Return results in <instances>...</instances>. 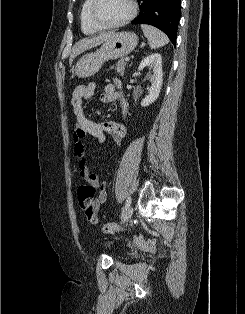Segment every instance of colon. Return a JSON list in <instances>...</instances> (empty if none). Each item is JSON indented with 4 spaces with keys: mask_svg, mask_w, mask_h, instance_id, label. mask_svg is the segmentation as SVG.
Returning a JSON list of instances; mask_svg holds the SVG:
<instances>
[{
    "mask_svg": "<svg viewBox=\"0 0 245 314\" xmlns=\"http://www.w3.org/2000/svg\"><path fill=\"white\" fill-rule=\"evenodd\" d=\"M95 191L91 185H80L77 189V198L80 208L86 213L91 214L93 212ZM119 229L116 223H106L102 225V231L104 233H112ZM135 245L146 251H155V245L150 241H145L141 238L135 239Z\"/></svg>",
    "mask_w": 245,
    "mask_h": 314,
    "instance_id": "colon-1",
    "label": "colon"
}]
</instances>
